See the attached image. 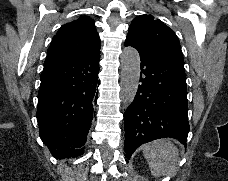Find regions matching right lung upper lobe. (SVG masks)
Listing matches in <instances>:
<instances>
[{
    "instance_id": "cb5924a9",
    "label": "right lung upper lobe",
    "mask_w": 228,
    "mask_h": 181,
    "mask_svg": "<svg viewBox=\"0 0 228 181\" xmlns=\"http://www.w3.org/2000/svg\"><path fill=\"white\" fill-rule=\"evenodd\" d=\"M100 50L94 20L82 16L63 25L53 37L44 66L62 63Z\"/></svg>"
}]
</instances>
